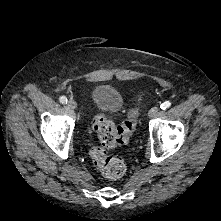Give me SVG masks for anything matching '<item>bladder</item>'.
Returning <instances> with one entry per match:
<instances>
[{
  "mask_svg": "<svg viewBox=\"0 0 221 221\" xmlns=\"http://www.w3.org/2000/svg\"><path fill=\"white\" fill-rule=\"evenodd\" d=\"M93 105L108 114H117L123 106L120 92L111 85L101 84L96 86L91 93Z\"/></svg>",
  "mask_w": 221,
  "mask_h": 221,
  "instance_id": "1",
  "label": "bladder"
}]
</instances>
